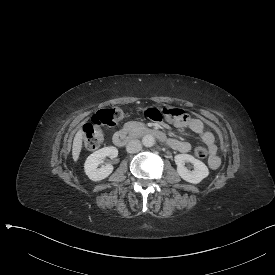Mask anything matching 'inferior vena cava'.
Returning <instances> with one entry per match:
<instances>
[{
	"label": "inferior vena cava",
	"instance_id": "obj_1",
	"mask_svg": "<svg viewBox=\"0 0 275 275\" xmlns=\"http://www.w3.org/2000/svg\"><path fill=\"white\" fill-rule=\"evenodd\" d=\"M141 149L142 145L139 140H132L126 146V150L128 153H136L139 152Z\"/></svg>",
	"mask_w": 275,
	"mask_h": 275
}]
</instances>
